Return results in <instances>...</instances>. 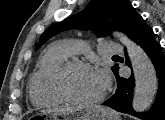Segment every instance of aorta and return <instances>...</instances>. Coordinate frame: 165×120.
I'll return each instance as SVG.
<instances>
[{
  "mask_svg": "<svg viewBox=\"0 0 165 120\" xmlns=\"http://www.w3.org/2000/svg\"><path fill=\"white\" fill-rule=\"evenodd\" d=\"M114 36L127 47L132 63L135 78V91L132 101L133 109L144 111L151 105L157 91L155 69L146 53L133 41L119 32H115Z\"/></svg>",
  "mask_w": 165,
  "mask_h": 120,
  "instance_id": "obj_1",
  "label": "aorta"
}]
</instances>
